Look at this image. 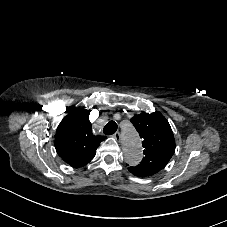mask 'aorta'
Here are the masks:
<instances>
[{"label":"aorta","mask_w":227,"mask_h":227,"mask_svg":"<svg viewBox=\"0 0 227 227\" xmlns=\"http://www.w3.org/2000/svg\"><path fill=\"white\" fill-rule=\"evenodd\" d=\"M122 146L124 158L128 164L136 165L142 160L140 137L133 127H127L122 131Z\"/></svg>","instance_id":"762f6f07"}]
</instances>
